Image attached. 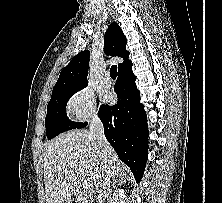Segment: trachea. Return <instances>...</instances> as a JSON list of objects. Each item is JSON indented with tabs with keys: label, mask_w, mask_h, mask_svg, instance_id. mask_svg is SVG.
Here are the masks:
<instances>
[{
	"label": "trachea",
	"mask_w": 222,
	"mask_h": 203,
	"mask_svg": "<svg viewBox=\"0 0 222 203\" xmlns=\"http://www.w3.org/2000/svg\"><path fill=\"white\" fill-rule=\"evenodd\" d=\"M110 76L112 77V79L116 78V76H117V66L116 65H113L110 68Z\"/></svg>",
	"instance_id": "3493384b"
}]
</instances>
